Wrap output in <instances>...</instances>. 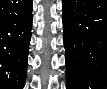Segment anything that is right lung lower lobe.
<instances>
[{"instance_id":"1","label":"right lung lower lobe","mask_w":107,"mask_h":89,"mask_svg":"<svg viewBox=\"0 0 107 89\" xmlns=\"http://www.w3.org/2000/svg\"><path fill=\"white\" fill-rule=\"evenodd\" d=\"M32 28V0H0V88L23 89Z\"/></svg>"}]
</instances>
